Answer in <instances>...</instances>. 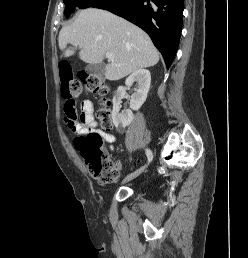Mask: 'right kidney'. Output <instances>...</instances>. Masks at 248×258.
<instances>
[{
	"label": "right kidney",
	"mask_w": 248,
	"mask_h": 258,
	"mask_svg": "<svg viewBox=\"0 0 248 258\" xmlns=\"http://www.w3.org/2000/svg\"><path fill=\"white\" fill-rule=\"evenodd\" d=\"M134 82H138V89L131 96L130 109L122 111L121 109V98L125 94V88L120 86L114 93L113 97V110H112V121L117 128H125L130 125L133 121L132 110H139L147 98V93L150 88L151 75L146 69H139L133 72L125 81L126 86L130 87Z\"/></svg>",
	"instance_id": "1"
}]
</instances>
